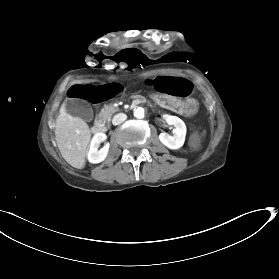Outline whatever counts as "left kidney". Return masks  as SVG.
I'll return each instance as SVG.
<instances>
[{"mask_svg": "<svg viewBox=\"0 0 279 279\" xmlns=\"http://www.w3.org/2000/svg\"><path fill=\"white\" fill-rule=\"evenodd\" d=\"M162 118L169 124L173 125L174 135L171 136L166 132L159 135L160 141L170 149H178L183 146L186 136V125L179 117L164 114Z\"/></svg>", "mask_w": 279, "mask_h": 279, "instance_id": "5707ae66", "label": "left kidney"}]
</instances>
